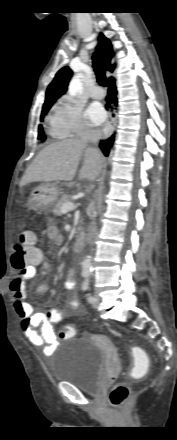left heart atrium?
<instances>
[{
	"label": "left heart atrium",
	"instance_id": "left-heart-atrium-1",
	"mask_svg": "<svg viewBox=\"0 0 177 440\" xmlns=\"http://www.w3.org/2000/svg\"><path fill=\"white\" fill-rule=\"evenodd\" d=\"M86 116L93 124L98 125L105 120L106 112L100 104L93 103L88 107Z\"/></svg>",
	"mask_w": 177,
	"mask_h": 440
}]
</instances>
